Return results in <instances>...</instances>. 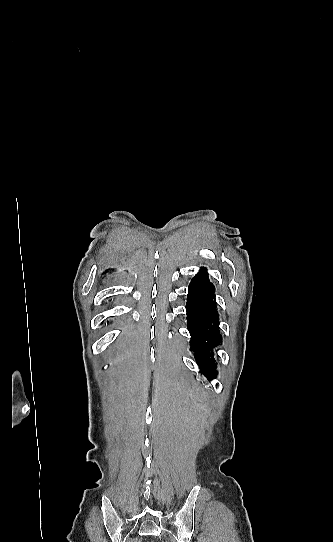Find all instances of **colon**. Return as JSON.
Here are the masks:
<instances>
[{
    "label": "colon",
    "instance_id": "obj_1",
    "mask_svg": "<svg viewBox=\"0 0 333 542\" xmlns=\"http://www.w3.org/2000/svg\"><path fill=\"white\" fill-rule=\"evenodd\" d=\"M144 542H161L159 536H146Z\"/></svg>",
    "mask_w": 333,
    "mask_h": 542
}]
</instances>
